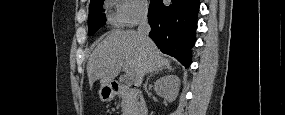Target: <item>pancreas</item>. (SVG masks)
Here are the masks:
<instances>
[{
	"mask_svg": "<svg viewBox=\"0 0 285 115\" xmlns=\"http://www.w3.org/2000/svg\"><path fill=\"white\" fill-rule=\"evenodd\" d=\"M123 115H129L134 109L137 102V93L135 90L128 89L121 95Z\"/></svg>",
	"mask_w": 285,
	"mask_h": 115,
	"instance_id": "1",
	"label": "pancreas"
}]
</instances>
